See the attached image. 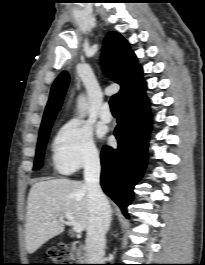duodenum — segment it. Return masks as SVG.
<instances>
[{"instance_id": "obj_1", "label": "duodenum", "mask_w": 205, "mask_h": 265, "mask_svg": "<svg viewBox=\"0 0 205 265\" xmlns=\"http://www.w3.org/2000/svg\"><path fill=\"white\" fill-rule=\"evenodd\" d=\"M73 249L75 250L77 256L79 257L80 261L83 262L85 260V256H86V250L85 247L79 243V242H73L72 244Z\"/></svg>"}]
</instances>
